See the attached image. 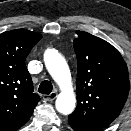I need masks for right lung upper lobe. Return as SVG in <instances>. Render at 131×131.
I'll list each match as a JSON object with an SVG mask.
<instances>
[{"label":"right lung upper lobe","mask_w":131,"mask_h":131,"mask_svg":"<svg viewBox=\"0 0 131 131\" xmlns=\"http://www.w3.org/2000/svg\"><path fill=\"white\" fill-rule=\"evenodd\" d=\"M41 38L25 29L0 34V131L22 127L40 100L25 59Z\"/></svg>","instance_id":"right-lung-upper-lobe-1"}]
</instances>
